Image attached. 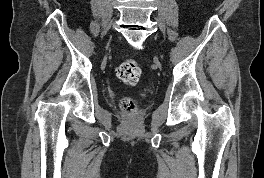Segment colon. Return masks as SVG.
I'll return each instance as SVG.
<instances>
[{
	"mask_svg": "<svg viewBox=\"0 0 264 178\" xmlns=\"http://www.w3.org/2000/svg\"><path fill=\"white\" fill-rule=\"evenodd\" d=\"M116 76L127 85H135L140 79L141 68L136 61L126 59L117 67ZM120 106L128 113H134L136 110L135 103L128 98H123Z\"/></svg>",
	"mask_w": 264,
	"mask_h": 178,
	"instance_id": "5ec220e1",
	"label": "colon"
}]
</instances>
